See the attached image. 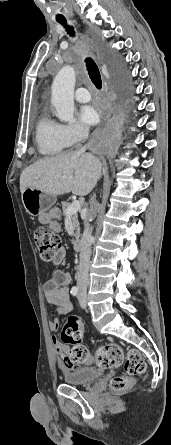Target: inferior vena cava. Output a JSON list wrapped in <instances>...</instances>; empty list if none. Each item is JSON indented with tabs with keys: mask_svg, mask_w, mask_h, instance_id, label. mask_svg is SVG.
I'll list each match as a JSON object with an SVG mask.
<instances>
[{
	"mask_svg": "<svg viewBox=\"0 0 171 445\" xmlns=\"http://www.w3.org/2000/svg\"><path fill=\"white\" fill-rule=\"evenodd\" d=\"M81 137L83 140H86L89 135V131L87 128L81 129ZM86 147H82L79 152H84ZM92 230L87 221H85V228L81 238V251H80V262H79V270L76 276L77 286L80 292L86 293L87 286L89 283V265H90V256H91V245H92Z\"/></svg>",
	"mask_w": 171,
	"mask_h": 445,
	"instance_id": "1",
	"label": "inferior vena cava"
}]
</instances>
